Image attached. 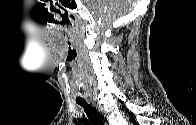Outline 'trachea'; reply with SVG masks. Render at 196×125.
<instances>
[{"instance_id":"1","label":"trachea","mask_w":196,"mask_h":125,"mask_svg":"<svg viewBox=\"0 0 196 125\" xmlns=\"http://www.w3.org/2000/svg\"><path fill=\"white\" fill-rule=\"evenodd\" d=\"M76 103L83 107L88 119L93 125H104L101 115L85 100L76 101Z\"/></svg>"}]
</instances>
